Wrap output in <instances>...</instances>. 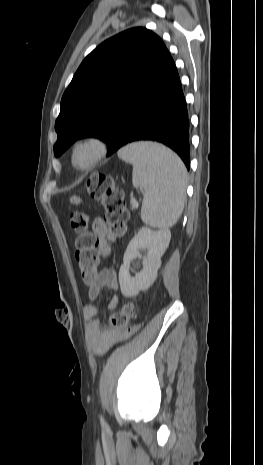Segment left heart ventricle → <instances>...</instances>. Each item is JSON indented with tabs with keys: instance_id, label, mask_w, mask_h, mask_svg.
<instances>
[{
	"instance_id": "left-heart-ventricle-1",
	"label": "left heart ventricle",
	"mask_w": 263,
	"mask_h": 465,
	"mask_svg": "<svg viewBox=\"0 0 263 465\" xmlns=\"http://www.w3.org/2000/svg\"><path fill=\"white\" fill-rule=\"evenodd\" d=\"M93 154L94 148L92 146H82L75 153V163L82 166L92 158Z\"/></svg>"
}]
</instances>
